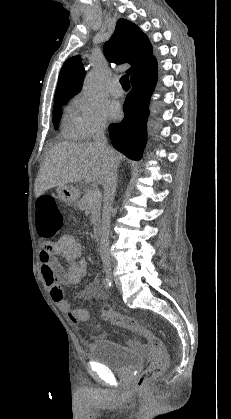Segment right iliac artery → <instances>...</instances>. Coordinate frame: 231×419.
Listing matches in <instances>:
<instances>
[{
    "instance_id": "right-iliac-artery-1",
    "label": "right iliac artery",
    "mask_w": 231,
    "mask_h": 419,
    "mask_svg": "<svg viewBox=\"0 0 231 419\" xmlns=\"http://www.w3.org/2000/svg\"><path fill=\"white\" fill-rule=\"evenodd\" d=\"M103 284L106 288H109V287H111L112 283H111V280L109 278H104L103 279Z\"/></svg>"
}]
</instances>
